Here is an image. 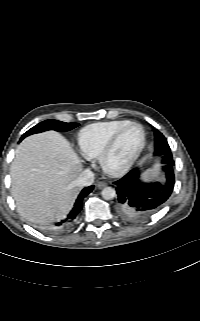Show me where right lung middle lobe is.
Instances as JSON below:
<instances>
[{"mask_svg": "<svg viewBox=\"0 0 200 321\" xmlns=\"http://www.w3.org/2000/svg\"><path fill=\"white\" fill-rule=\"evenodd\" d=\"M78 123H65L58 120H45L36 126L32 127L30 130H28L26 133L23 134L20 140L24 139L25 137L35 134L44 132L47 130H55L60 132H66L69 130H72L73 128L77 127Z\"/></svg>", "mask_w": 200, "mask_h": 321, "instance_id": "right-lung-middle-lobe-1", "label": "right lung middle lobe"}]
</instances>
